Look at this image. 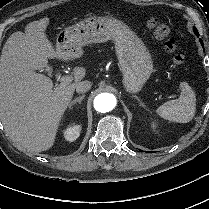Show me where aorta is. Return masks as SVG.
Here are the masks:
<instances>
[{
	"instance_id": "obj_1",
	"label": "aorta",
	"mask_w": 209,
	"mask_h": 209,
	"mask_svg": "<svg viewBox=\"0 0 209 209\" xmlns=\"http://www.w3.org/2000/svg\"><path fill=\"white\" fill-rule=\"evenodd\" d=\"M93 105L97 112L107 113L114 109L116 98L111 93H100L94 98Z\"/></svg>"
}]
</instances>
